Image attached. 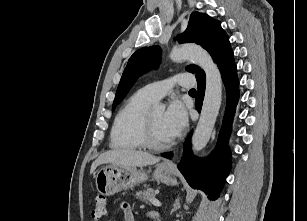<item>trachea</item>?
<instances>
[{"label":"trachea","mask_w":307,"mask_h":221,"mask_svg":"<svg viewBox=\"0 0 307 221\" xmlns=\"http://www.w3.org/2000/svg\"><path fill=\"white\" fill-rule=\"evenodd\" d=\"M189 93H196V90L195 89H190Z\"/></svg>","instance_id":"1"}]
</instances>
